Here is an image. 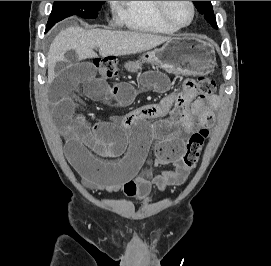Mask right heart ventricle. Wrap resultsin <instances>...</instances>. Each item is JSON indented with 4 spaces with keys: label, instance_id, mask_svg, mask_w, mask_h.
<instances>
[{
    "label": "right heart ventricle",
    "instance_id": "1",
    "mask_svg": "<svg viewBox=\"0 0 271 266\" xmlns=\"http://www.w3.org/2000/svg\"><path fill=\"white\" fill-rule=\"evenodd\" d=\"M116 2L119 19L129 29L161 34L177 31L160 16L157 1Z\"/></svg>",
    "mask_w": 271,
    "mask_h": 266
}]
</instances>
